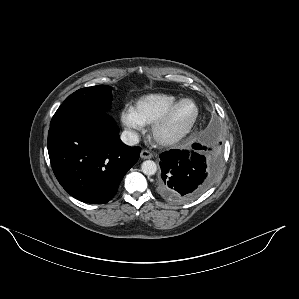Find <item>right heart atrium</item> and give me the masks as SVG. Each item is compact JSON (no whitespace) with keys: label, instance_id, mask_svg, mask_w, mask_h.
Returning a JSON list of instances; mask_svg holds the SVG:
<instances>
[{"label":"right heart atrium","instance_id":"right-heart-atrium-1","mask_svg":"<svg viewBox=\"0 0 299 299\" xmlns=\"http://www.w3.org/2000/svg\"><path fill=\"white\" fill-rule=\"evenodd\" d=\"M120 120L122 125L130 132V134L135 135L142 131L144 124L136 116L132 107L125 108L121 111Z\"/></svg>","mask_w":299,"mask_h":299}]
</instances>
